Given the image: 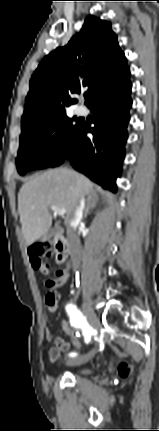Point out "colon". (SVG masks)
Listing matches in <instances>:
<instances>
[{
    "label": "colon",
    "mask_w": 159,
    "mask_h": 431,
    "mask_svg": "<svg viewBox=\"0 0 159 431\" xmlns=\"http://www.w3.org/2000/svg\"><path fill=\"white\" fill-rule=\"evenodd\" d=\"M51 254L52 252L48 247L42 245L34 246L30 251L32 266L42 273H47L49 271V265L45 263L44 259L51 256ZM58 298V293L54 288H51V291L46 297L48 313H56L57 308L55 305ZM61 329L63 330V334H65V336L71 341V346H73L76 351H79L82 348V342L80 340V335L75 333L71 323L69 321H62ZM118 372L120 376L127 377L131 373V367L127 363L122 362L118 366Z\"/></svg>",
    "instance_id": "colon-1"
}]
</instances>
